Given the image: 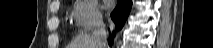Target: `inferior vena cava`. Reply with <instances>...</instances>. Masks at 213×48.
Listing matches in <instances>:
<instances>
[{
	"instance_id": "obj_1",
	"label": "inferior vena cava",
	"mask_w": 213,
	"mask_h": 48,
	"mask_svg": "<svg viewBox=\"0 0 213 48\" xmlns=\"http://www.w3.org/2000/svg\"><path fill=\"white\" fill-rule=\"evenodd\" d=\"M92 38L96 48H106L107 34L101 13H96L93 21Z\"/></svg>"
}]
</instances>
